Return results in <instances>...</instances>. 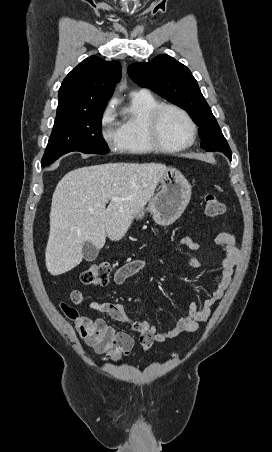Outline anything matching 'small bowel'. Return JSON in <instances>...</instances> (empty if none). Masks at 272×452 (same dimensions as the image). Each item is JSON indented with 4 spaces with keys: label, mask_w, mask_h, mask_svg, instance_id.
<instances>
[{
    "label": "small bowel",
    "mask_w": 272,
    "mask_h": 452,
    "mask_svg": "<svg viewBox=\"0 0 272 452\" xmlns=\"http://www.w3.org/2000/svg\"><path fill=\"white\" fill-rule=\"evenodd\" d=\"M180 245L185 249L187 261L191 266L199 267L202 265L200 258L190 254L191 251L200 249L198 242L190 236L184 235L180 238ZM214 246L221 251L219 262L220 276L214 288L210 291L209 297L201 306L196 302H192L189 306L188 313L181 316L170 329L158 331L155 325L147 321L132 320L125 310L124 305L118 302L101 303L91 301L87 306L92 310L106 313L116 321L130 326L139 335L140 344L144 349L150 348L154 343H163L181 333L192 332L197 329L199 323L206 322L209 319L214 306L224 296L232 280L234 269L240 261V249L234 235L229 231L219 233L215 239ZM148 266L149 262L146 260L138 259L128 261L116 269L114 281L117 284H123L130 277L146 269ZM71 300L74 304H82L84 302V294L80 290H73L71 292ZM67 305L70 310H63V312L74 323L75 328L84 341L97 352H105L100 346L105 338H110L114 341L116 348L121 353L126 354L132 350L134 342L128 333L107 326L104 320L100 318L93 319L80 315L74 307L69 304Z\"/></svg>",
    "instance_id": "small-bowel-1"
}]
</instances>
